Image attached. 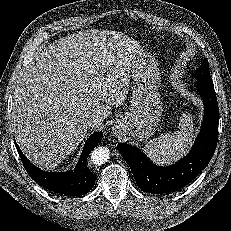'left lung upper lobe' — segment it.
Segmentation results:
<instances>
[{"label": "left lung upper lobe", "instance_id": "1", "mask_svg": "<svg viewBox=\"0 0 231 231\" xmlns=\"http://www.w3.org/2000/svg\"><path fill=\"white\" fill-rule=\"evenodd\" d=\"M194 76L197 81L213 83L210 77L209 64L207 59H204L202 66L195 70Z\"/></svg>", "mask_w": 231, "mask_h": 231}]
</instances>
